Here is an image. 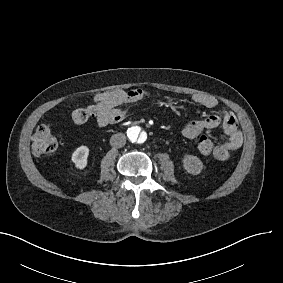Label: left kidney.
I'll return each instance as SVG.
<instances>
[{
	"instance_id": "left-kidney-1",
	"label": "left kidney",
	"mask_w": 283,
	"mask_h": 283,
	"mask_svg": "<svg viewBox=\"0 0 283 283\" xmlns=\"http://www.w3.org/2000/svg\"><path fill=\"white\" fill-rule=\"evenodd\" d=\"M183 165L191 174H199L203 169L202 162L195 156H186L183 160Z\"/></svg>"
}]
</instances>
